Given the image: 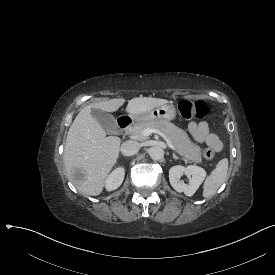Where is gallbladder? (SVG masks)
<instances>
[{
	"mask_svg": "<svg viewBox=\"0 0 275 275\" xmlns=\"http://www.w3.org/2000/svg\"><path fill=\"white\" fill-rule=\"evenodd\" d=\"M91 115L97 119L107 134H117L118 127L112 114L105 113L99 109L92 108Z\"/></svg>",
	"mask_w": 275,
	"mask_h": 275,
	"instance_id": "bac80fb5",
	"label": "gallbladder"
}]
</instances>
